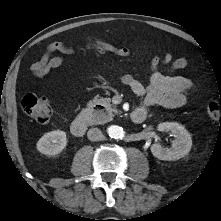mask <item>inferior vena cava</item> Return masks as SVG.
<instances>
[{
	"label": "inferior vena cava",
	"instance_id": "inferior-vena-cava-1",
	"mask_svg": "<svg viewBox=\"0 0 221 221\" xmlns=\"http://www.w3.org/2000/svg\"><path fill=\"white\" fill-rule=\"evenodd\" d=\"M87 136H88V139L91 141H98V140L102 139L103 134L100 129L91 128V129H89Z\"/></svg>",
	"mask_w": 221,
	"mask_h": 221
}]
</instances>
